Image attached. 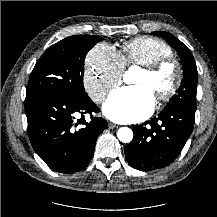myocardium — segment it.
Instances as JSON below:
<instances>
[{
	"label": "myocardium",
	"mask_w": 217,
	"mask_h": 217,
	"mask_svg": "<svg viewBox=\"0 0 217 217\" xmlns=\"http://www.w3.org/2000/svg\"><path fill=\"white\" fill-rule=\"evenodd\" d=\"M165 70L170 72L172 79L170 85L165 90L158 91L155 94V98L158 102H167L176 95L183 79L182 68L178 61L172 56L161 58L142 68V71L152 78L159 77Z\"/></svg>",
	"instance_id": "myocardium-1"
}]
</instances>
